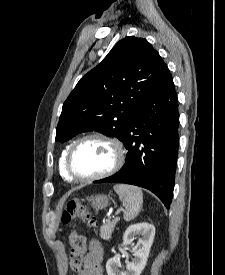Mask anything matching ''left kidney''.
<instances>
[{
	"label": "left kidney",
	"instance_id": "1",
	"mask_svg": "<svg viewBox=\"0 0 225 275\" xmlns=\"http://www.w3.org/2000/svg\"><path fill=\"white\" fill-rule=\"evenodd\" d=\"M141 236L137 244L132 248L134 259L126 265L127 271H119L120 255L110 258L106 264L108 275H140L144 269L152 246L155 227L148 223H139L127 228L123 235V246L132 244L135 236Z\"/></svg>",
	"mask_w": 225,
	"mask_h": 275
}]
</instances>
